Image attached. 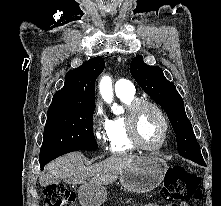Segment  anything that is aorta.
<instances>
[{
    "label": "aorta",
    "instance_id": "1",
    "mask_svg": "<svg viewBox=\"0 0 221 206\" xmlns=\"http://www.w3.org/2000/svg\"><path fill=\"white\" fill-rule=\"evenodd\" d=\"M99 91L104 101L108 104H111L113 101V86L112 80L109 76L102 77L99 83ZM111 109L114 113L120 112L119 107H117L116 105H113Z\"/></svg>",
    "mask_w": 221,
    "mask_h": 206
}]
</instances>
